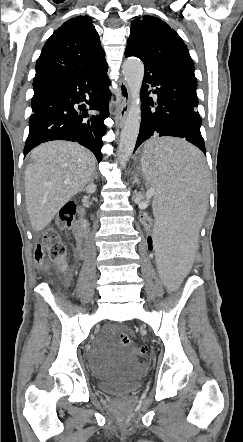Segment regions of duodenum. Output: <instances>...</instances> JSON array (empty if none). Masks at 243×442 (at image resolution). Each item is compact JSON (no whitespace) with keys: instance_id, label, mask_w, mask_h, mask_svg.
Here are the masks:
<instances>
[{"instance_id":"obj_1","label":"duodenum","mask_w":243,"mask_h":442,"mask_svg":"<svg viewBox=\"0 0 243 442\" xmlns=\"http://www.w3.org/2000/svg\"><path fill=\"white\" fill-rule=\"evenodd\" d=\"M76 240L81 253H85L87 249V231L81 224L76 228Z\"/></svg>"}]
</instances>
